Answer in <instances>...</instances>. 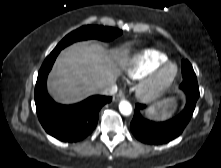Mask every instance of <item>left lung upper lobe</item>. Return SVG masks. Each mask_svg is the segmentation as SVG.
Returning <instances> with one entry per match:
<instances>
[{"label":"left lung upper lobe","instance_id":"left-lung-upper-lobe-1","mask_svg":"<svg viewBox=\"0 0 221 168\" xmlns=\"http://www.w3.org/2000/svg\"><path fill=\"white\" fill-rule=\"evenodd\" d=\"M182 76H183V79L196 78L192 65L190 64L188 60L182 61Z\"/></svg>","mask_w":221,"mask_h":168}]
</instances>
